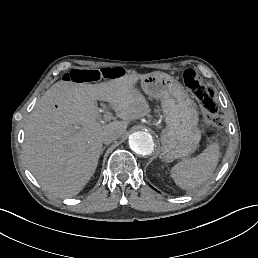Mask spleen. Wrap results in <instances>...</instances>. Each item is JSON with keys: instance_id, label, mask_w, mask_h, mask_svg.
Masks as SVG:
<instances>
[{"instance_id": "spleen-1", "label": "spleen", "mask_w": 258, "mask_h": 258, "mask_svg": "<svg viewBox=\"0 0 258 258\" xmlns=\"http://www.w3.org/2000/svg\"><path fill=\"white\" fill-rule=\"evenodd\" d=\"M219 160V145H209L196 157L183 160L171 169L176 185L190 191L207 182L213 175Z\"/></svg>"}]
</instances>
